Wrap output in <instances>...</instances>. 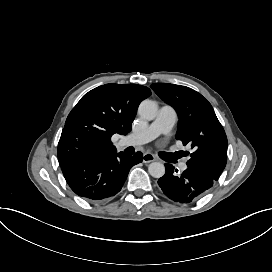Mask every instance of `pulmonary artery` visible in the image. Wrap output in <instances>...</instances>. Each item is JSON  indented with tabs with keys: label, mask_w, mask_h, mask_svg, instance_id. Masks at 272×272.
Instances as JSON below:
<instances>
[{
	"label": "pulmonary artery",
	"mask_w": 272,
	"mask_h": 272,
	"mask_svg": "<svg viewBox=\"0 0 272 272\" xmlns=\"http://www.w3.org/2000/svg\"><path fill=\"white\" fill-rule=\"evenodd\" d=\"M177 115L175 111L168 107L164 106L162 107L156 119L145 129L143 130L140 135L138 136H126L124 141L126 144H135V143H146L147 141H151L155 139L158 135L162 133H169L174 124L176 123ZM176 165L178 166L180 171H185L187 168L186 163L182 162L181 160H178L176 162Z\"/></svg>",
	"instance_id": "e3ab8cb5"
}]
</instances>
